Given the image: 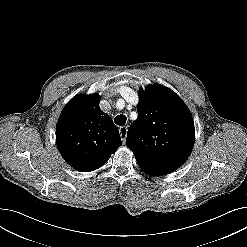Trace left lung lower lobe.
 Listing matches in <instances>:
<instances>
[{"label":"left lung lower lobe","instance_id":"obj_1","mask_svg":"<svg viewBox=\"0 0 247 247\" xmlns=\"http://www.w3.org/2000/svg\"><path fill=\"white\" fill-rule=\"evenodd\" d=\"M140 168L147 174L152 175V176H161V175H166L171 173L172 171L170 170H164V169H159L155 167H150V166H144L140 165Z\"/></svg>","mask_w":247,"mask_h":247}]
</instances>
